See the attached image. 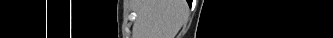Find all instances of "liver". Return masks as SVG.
<instances>
[{
  "instance_id": "6515ba94",
  "label": "liver",
  "mask_w": 333,
  "mask_h": 38,
  "mask_svg": "<svg viewBox=\"0 0 333 38\" xmlns=\"http://www.w3.org/2000/svg\"><path fill=\"white\" fill-rule=\"evenodd\" d=\"M137 38H175L188 17L185 0H139Z\"/></svg>"
}]
</instances>
